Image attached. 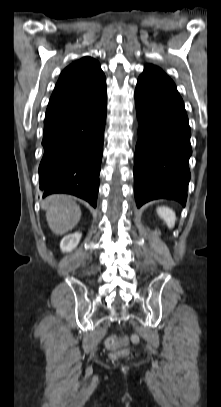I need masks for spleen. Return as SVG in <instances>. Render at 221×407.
<instances>
[{
  "mask_svg": "<svg viewBox=\"0 0 221 407\" xmlns=\"http://www.w3.org/2000/svg\"><path fill=\"white\" fill-rule=\"evenodd\" d=\"M157 213L162 218L169 228H173L176 222V214L175 212L168 208V207H158Z\"/></svg>",
  "mask_w": 221,
  "mask_h": 407,
  "instance_id": "3e777b00",
  "label": "spleen"
}]
</instances>
